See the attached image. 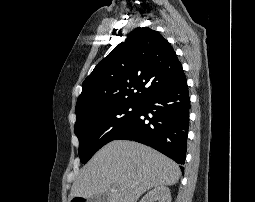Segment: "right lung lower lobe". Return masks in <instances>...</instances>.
<instances>
[{
    "instance_id": "1",
    "label": "right lung lower lobe",
    "mask_w": 255,
    "mask_h": 202,
    "mask_svg": "<svg viewBox=\"0 0 255 202\" xmlns=\"http://www.w3.org/2000/svg\"><path fill=\"white\" fill-rule=\"evenodd\" d=\"M189 109L185 80L144 99L135 118L114 140H134L148 145L173 159L183 171Z\"/></svg>"
}]
</instances>
